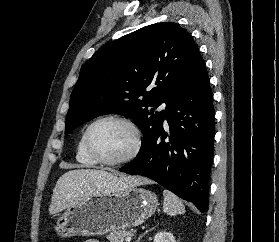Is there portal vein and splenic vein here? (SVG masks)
Segmentation results:
<instances>
[{"mask_svg":"<svg viewBox=\"0 0 279 242\" xmlns=\"http://www.w3.org/2000/svg\"><path fill=\"white\" fill-rule=\"evenodd\" d=\"M126 241H127V242H130V241H131V237H127V238H126Z\"/></svg>","mask_w":279,"mask_h":242,"instance_id":"1","label":"portal vein and splenic vein"}]
</instances>
